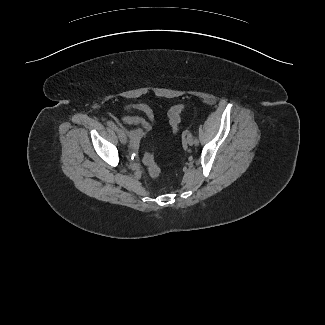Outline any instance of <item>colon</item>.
Segmentation results:
<instances>
[{
	"label": "colon",
	"mask_w": 325,
	"mask_h": 325,
	"mask_svg": "<svg viewBox=\"0 0 325 325\" xmlns=\"http://www.w3.org/2000/svg\"><path fill=\"white\" fill-rule=\"evenodd\" d=\"M185 105L184 104H177L168 112L169 123L174 133L179 131V125L181 120V112L183 111ZM143 162L147 167L149 174L152 177H157L160 175L161 170L159 166L154 161V156L152 152H147L143 157Z\"/></svg>",
	"instance_id": "1"
}]
</instances>
